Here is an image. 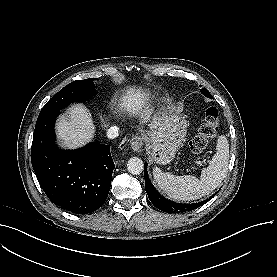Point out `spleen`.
<instances>
[{"label": "spleen", "mask_w": 277, "mask_h": 277, "mask_svg": "<svg viewBox=\"0 0 277 277\" xmlns=\"http://www.w3.org/2000/svg\"><path fill=\"white\" fill-rule=\"evenodd\" d=\"M217 152L207 168L201 172L200 179L192 175L175 176L153 168L154 181L170 198L175 200H195L210 194L227 175L229 163V143L225 136L217 140Z\"/></svg>", "instance_id": "obj_1"}]
</instances>
